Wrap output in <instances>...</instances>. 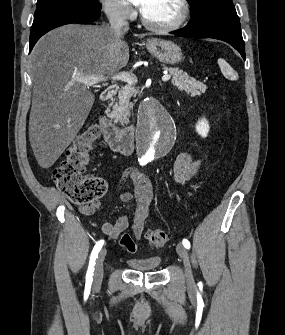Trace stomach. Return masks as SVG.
I'll return each mask as SVG.
<instances>
[{
    "mask_svg": "<svg viewBox=\"0 0 285 335\" xmlns=\"http://www.w3.org/2000/svg\"><path fill=\"white\" fill-rule=\"evenodd\" d=\"M146 48L154 58L163 64H179L183 58L182 50L170 42V40H160V38H151L147 40Z\"/></svg>",
    "mask_w": 285,
    "mask_h": 335,
    "instance_id": "stomach-1",
    "label": "stomach"
}]
</instances>
